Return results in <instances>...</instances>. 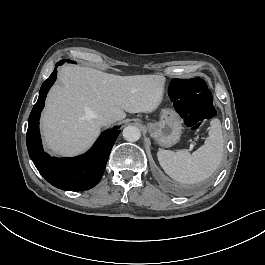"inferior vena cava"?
I'll return each mask as SVG.
<instances>
[{
    "label": "inferior vena cava",
    "mask_w": 265,
    "mask_h": 265,
    "mask_svg": "<svg viewBox=\"0 0 265 265\" xmlns=\"http://www.w3.org/2000/svg\"><path fill=\"white\" fill-rule=\"evenodd\" d=\"M97 122L101 126H108L115 122V119L111 117L110 115L104 114L100 115L97 119Z\"/></svg>",
    "instance_id": "obj_1"
}]
</instances>
